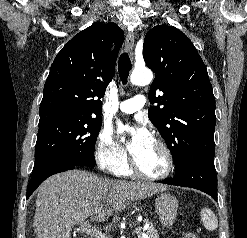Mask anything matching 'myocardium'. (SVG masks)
Wrapping results in <instances>:
<instances>
[{
    "mask_svg": "<svg viewBox=\"0 0 247 238\" xmlns=\"http://www.w3.org/2000/svg\"><path fill=\"white\" fill-rule=\"evenodd\" d=\"M153 142L160 148V150L162 151V153L165 157L166 167H165L164 171L158 175L147 174V173L143 172L138 167L134 157H132L130 160V168H131V171L133 172V174L136 175L137 177L141 178V179L150 180V181L164 180L167 177H169L173 171L174 159H173V156H172V153H171L169 147L162 140L154 138Z\"/></svg>",
    "mask_w": 247,
    "mask_h": 238,
    "instance_id": "obj_1",
    "label": "myocardium"
}]
</instances>
